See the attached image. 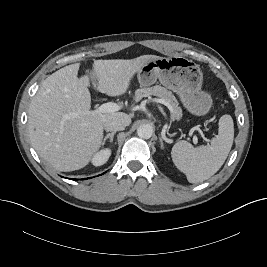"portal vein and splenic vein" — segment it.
Here are the masks:
<instances>
[{
    "instance_id": "portal-vein-and-splenic-vein-1",
    "label": "portal vein and splenic vein",
    "mask_w": 267,
    "mask_h": 267,
    "mask_svg": "<svg viewBox=\"0 0 267 267\" xmlns=\"http://www.w3.org/2000/svg\"><path fill=\"white\" fill-rule=\"evenodd\" d=\"M120 109V106L117 103H104L101 106H99L97 109L93 110V114H101V113H112L116 112ZM194 143L197 144V139L194 138Z\"/></svg>"
}]
</instances>
